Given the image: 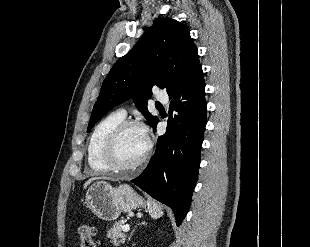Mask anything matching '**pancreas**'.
Listing matches in <instances>:
<instances>
[{
  "label": "pancreas",
  "mask_w": 310,
  "mask_h": 247,
  "mask_svg": "<svg viewBox=\"0 0 310 247\" xmlns=\"http://www.w3.org/2000/svg\"><path fill=\"white\" fill-rule=\"evenodd\" d=\"M123 225L124 222H115L113 227L107 232V237L115 246H119L125 242L126 235L122 230Z\"/></svg>",
  "instance_id": "1"
}]
</instances>
